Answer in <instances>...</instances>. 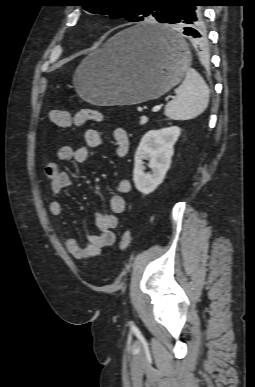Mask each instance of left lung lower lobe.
Here are the masks:
<instances>
[{"label":"left lung lower lobe","instance_id":"0a47b994","mask_svg":"<svg viewBox=\"0 0 255 387\" xmlns=\"http://www.w3.org/2000/svg\"><path fill=\"white\" fill-rule=\"evenodd\" d=\"M208 5L205 0H182L173 2L165 22L169 24H180L183 26V33L190 36L195 46L204 51L207 48V38L203 29V15L199 6ZM143 36L168 50L175 48L172 36L164 30L152 29L142 32Z\"/></svg>","mask_w":255,"mask_h":387}]
</instances>
